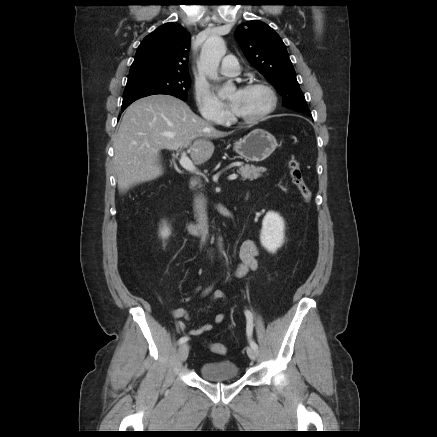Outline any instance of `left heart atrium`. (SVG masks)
<instances>
[{
  "instance_id": "1",
  "label": "left heart atrium",
  "mask_w": 437,
  "mask_h": 437,
  "mask_svg": "<svg viewBox=\"0 0 437 437\" xmlns=\"http://www.w3.org/2000/svg\"><path fill=\"white\" fill-rule=\"evenodd\" d=\"M236 99H234V100H231V102H230V105H231V108L234 110L235 108H236Z\"/></svg>"
}]
</instances>
